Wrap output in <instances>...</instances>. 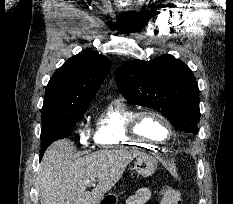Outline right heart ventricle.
<instances>
[{
    "label": "right heart ventricle",
    "instance_id": "1",
    "mask_svg": "<svg viewBox=\"0 0 233 204\" xmlns=\"http://www.w3.org/2000/svg\"><path fill=\"white\" fill-rule=\"evenodd\" d=\"M134 112L133 108L121 100L111 101L96 120L95 143L102 148L149 147V143L128 134V123Z\"/></svg>",
    "mask_w": 233,
    "mask_h": 204
}]
</instances>
